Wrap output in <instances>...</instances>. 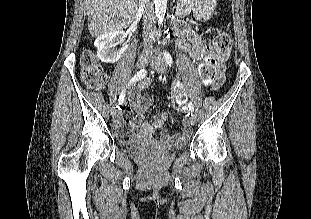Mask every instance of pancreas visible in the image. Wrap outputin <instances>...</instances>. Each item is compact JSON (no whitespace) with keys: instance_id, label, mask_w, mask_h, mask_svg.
Listing matches in <instances>:
<instances>
[{"instance_id":"pancreas-1","label":"pancreas","mask_w":311,"mask_h":219,"mask_svg":"<svg viewBox=\"0 0 311 219\" xmlns=\"http://www.w3.org/2000/svg\"><path fill=\"white\" fill-rule=\"evenodd\" d=\"M179 7H185L188 11L192 10L194 7V0H180Z\"/></svg>"}]
</instances>
